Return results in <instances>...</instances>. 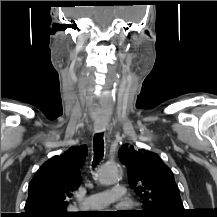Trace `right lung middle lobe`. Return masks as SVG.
<instances>
[{"mask_svg": "<svg viewBox=\"0 0 217 217\" xmlns=\"http://www.w3.org/2000/svg\"><path fill=\"white\" fill-rule=\"evenodd\" d=\"M74 215H75V214H71V215H60V216H58V217H75Z\"/></svg>", "mask_w": 217, "mask_h": 217, "instance_id": "obj_1", "label": "right lung middle lobe"}]
</instances>
